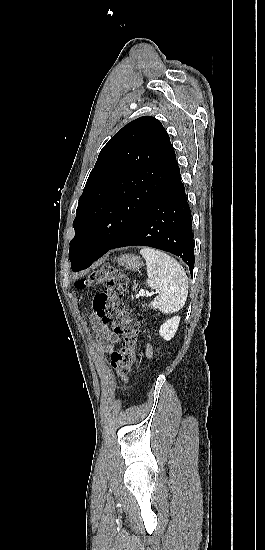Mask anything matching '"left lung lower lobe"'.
Listing matches in <instances>:
<instances>
[{
	"instance_id": "1",
	"label": "left lung lower lobe",
	"mask_w": 265,
	"mask_h": 550,
	"mask_svg": "<svg viewBox=\"0 0 265 550\" xmlns=\"http://www.w3.org/2000/svg\"><path fill=\"white\" fill-rule=\"evenodd\" d=\"M132 245L149 246L173 253L181 257L193 273L194 242L191 211L181 182L180 171L109 249L89 254L73 271L88 268L111 249Z\"/></svg>"
}]
</instances>
